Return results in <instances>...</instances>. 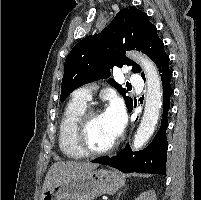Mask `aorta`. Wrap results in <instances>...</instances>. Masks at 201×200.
Masks as SVG:
<instances>
[{
  "label": "aorta",
  "mask_w": 201,
  "mask_h": 200,
  "mask_svg": "<svg viewBox=\"0 0 201 200\" xmlns=\"http://www.w3.org/2000/svg\"><path fill=\"white\" fill-rule=\"evenodd\" d=\"M129 57L143 68L147 85L144 114L133 140V149L139 150L152 136L158 122L162 104V85L159 72L148 57L135 52L129 53Z\"/></svg>",
  "instance_id": "762f6f07"
}]
</instances>
